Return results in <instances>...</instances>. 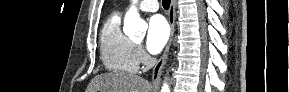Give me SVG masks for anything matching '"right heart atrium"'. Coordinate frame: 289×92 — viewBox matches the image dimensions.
<instances>
[{"label":"right heart atrium","mask_w":289,"mask_h":92,"mask_svg":"<svg viewBox=\"0 0 289 92\" xmlns=\"http://www.w3.org/2000/svg\"><path fill=\"white\" fill-rule=\"evenodd\" d=\"M136 56L139 63H143L146 60V55L140 46H136Z\"/></svg>","instance_id":"d8ad5b80"}]
</instances>
